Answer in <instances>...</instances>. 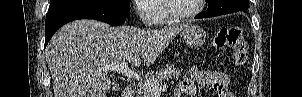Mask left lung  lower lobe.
Returning <instances> with one entry per match:
<instances>
[{"label":"left lung lower lobe","mask_w":302,"mask_h":97,"mask_svg":"<svg viewBox=\"0 0 302 97\" xmlns=\"http://www.w3.org/2000/svg\"><path fill=\"white\" fill-rule=\"evenodd\" d=\"M218 15H221V14H219L217 12H211L207 9L205 12L200 13L195 18H208V17H214V16H218Z\"/></svg>","instance_id":"1"}]
</instances>
